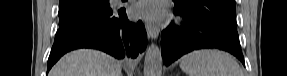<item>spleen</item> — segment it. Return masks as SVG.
Wrapping results in <instances>:
<instances>
[{
	"instance_id": "spleen-1",
	"label": "spleen",
	"mask_w": 287,
	"mask_h": 76,
	"mask_svg": "<svg viewBox=\"0 0 287 76\" xmlns=\"http://www.w3.org/2000/svg\"><path fill=\"white\" fill-rule=\"evenodd\" d=\"M188 76H243L236 60L219 50H199L188 53L180 61Z\"/></svg>"
}]
</instances>
